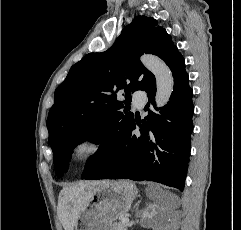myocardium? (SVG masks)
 <instances>
[{
    "label": "myocardium",
    "mask_w": 241,
    "mask_h": 230,
    "mask_svg": "<svg viewBox=\"0 0 241 230\" xmlns=\"http://www.w3.org/2000/svg\"><path fill=\"white\" fill-rule=\"evenodd\" d=\"M104 141L94 135H86L76 139L68 151V159L72 164H79L90 160L104 150Z\"/></svg>",
    "instance_id": "f54148a6"
}]
</instances>
